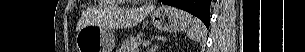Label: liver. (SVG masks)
I'll list each match as a JSON object with an SVG mask.
<instances>
[{
	"label": "liver",
	"mask_w": 305,
	"mask_h": 52,
	"mask_svg": "<svg viewBox=\"0 0 305 52\" xmlns=\"http://www.w3.org/2000/svg\"><path fill=\"white\" fill-rule=\"evenodd\" d=\"M153 11V7H138V8H126L114 6L109 12V25L112 28H129L137 25L145 17ZM94 19L91 17L89 11H84L77 26V31L81 28L92 25Z\"/></svg>",
	"instance_id": "6515ba94"
}]
</instances>
